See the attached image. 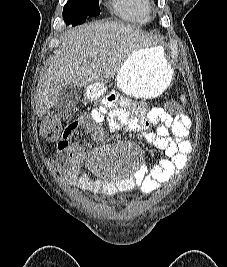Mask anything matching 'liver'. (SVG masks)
<instances>
[{"instance_id": "obj_1", "label": "liver", "mask_w": 227, "mask_h": 267, "mask_svg": "<svg viewBox=\"0 0 227 267\" xmlns=\"http://www.w3.org/2000/svg\"><path fill=\"white\" fill-rule=\"evenodd\" d=\"M150 44V38L139 28L117 21L95 22L66 31L38 81L36 114L41 117L47 113L59 91L68 85L88 87L113 78L133 52Z\"/></svg>"}]
</instances>
